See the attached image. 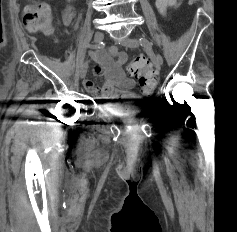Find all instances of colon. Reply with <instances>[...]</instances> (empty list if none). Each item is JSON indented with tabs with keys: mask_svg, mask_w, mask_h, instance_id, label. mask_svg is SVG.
Wrapping results in <instances>:
<instances>
[{
	"mask_svg": "<svg viewBox=\"0 0 237 232\" xmlns=\"http://www.w3.org/2000/svg\"><path fill=\"white\" fill-rule=\"evenodd\" d=\"M175 0H156V7L161 16L166 17ZM24 23L29 32L51 34L53 31V16L51 8L46 3L33 2L24 11ZM128 72L137 78L141 87L150 91L158 82L157 68L142 54L135 57L128 65Z\"/></svg>",
	"mask_w": 237,
	"mask_h": 232,
	"instance_id": "5ec220e1",
	"label": "colon"
}]
</instances>
